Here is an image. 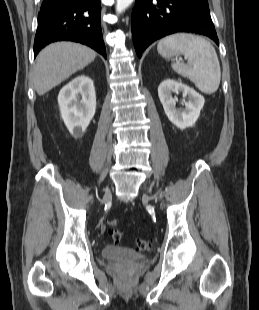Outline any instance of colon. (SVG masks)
Wrapping results in <instances>:
<instances>
[{"label":"colon","instance_id":"obj_1","mask_svg":"<svg viewBox=\"0 0 259 310\" xmlns=\"http://www.w3.org/2000/svg\"><path fill=\"white\" fill-rule=\"evenodd\" d=\"M107 225L108 227L111 228L110 234H111L112 239L115 242H120L123 239V234L121 231L115 228L117 226V221L113 219L108 220ZM151 246H152L151 241L141 239L135 242L134 249L136 251H146V250H149Z\"/></svg>","mask_w":259,"mask_h":310}]
</instances>
